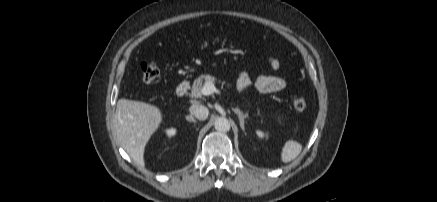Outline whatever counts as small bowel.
Wrapping results in <instances>:
<instances>
[{
	"instance_id": "small-bowel-1",
	"label": "small bowel",
	"mask_w": 437,
	"mask_h": 202,
	"mask_svg": "<svg viewBox=\"0 0 437 202\" xmlns=\"http://www.w3.org/2000/svg\"><path fill=\"white\" fill-rule=\"evenodd\" d=\"M267 60L274 71H278L280 63L278 59L268 56ZM251 85H254L257 90L262 93H273L281 91L285 88V80L277 75L263 74L258 76L253 82L247 73H241L238 79V89L246 90Z\"/></svg>"
}]
</instances>
